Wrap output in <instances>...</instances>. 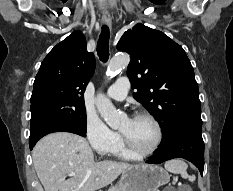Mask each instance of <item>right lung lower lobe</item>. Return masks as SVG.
Instances as JSON below:
<instances>
[{
  "label": "right lung lower lobe",
  "instance_id": "1",
  "mask_svg": "<svg viewBox=\"0 0 233 191\" xmlns=\"http://www.w3.org/2000/svg\"><path fill=\"white\" fill-rule=\"evenodd\" d=\"M52 132H71V133H75L81 136H86L85 133H81L66 125H53V124L43 125L30 132V138H29L30 150L33 149V147L35 146V144L37 143L39 139H41L43 136L49 133H52Z\"/></svg>",
  "mask_w": 233,
  "mask_h": 191
}]
</instances>
